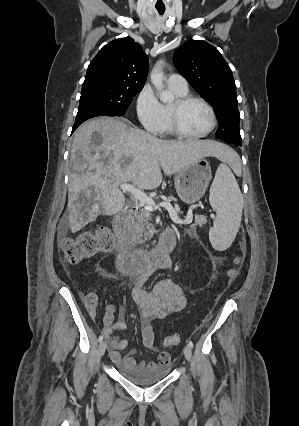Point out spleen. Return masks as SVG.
Segmentation results:
<instances>
[{
    "label": "spleen",
    "mask_w": 299,
    "mask_h": 426,
    "mask_svg": "<svg viewBox=\"0 0 299 426\" xmlns=\"http://www.w3.org/2000/svg\"><path fill=\"white\" fill-rule=\"evenodd\" d=\"M209 201L216 211V219L209 231L214 249L229 248L239 230L243 210V197L231 169L226 163L217 168L210 187Z\"/></svg>",
    "instance_id": "obj_1"
}]
</instances>
